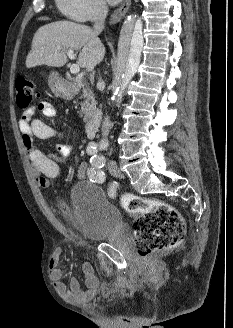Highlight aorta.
Returning a JSON list of instances; mask_svg holds the SVG:
<instances>
[{
  "label": "aorta",
  "instance_id": "obj_1",
  "mask_svg": "<svg viewBox=\"0 0 233 328\" xmlns=\"http://www.w3.org/2000/svg\"><path fill=\"white\" fill-rule=\"evenodd\" d=\"M142 22L134 15L123 23L118 40L115 75L112 81V102L119 105L124 90L137 72L143 48Z\"/></svg>",
  "mask_w": 233,
  "mask_h": 328
}]
</instances>
